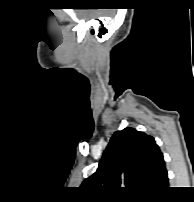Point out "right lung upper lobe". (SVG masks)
<instances>
[{"label": "right lung upper lobe", "mask_w": 194, "mask_h": 202, "mask_svg": "<svg viewBox=\"0 0 194 202\" xmlns=\"http://www.w3.org/2000/svg\"><path fill=\"white\" fill-rule=\"evenodd\" d=\"M82 185L98 194L147 198L165 190L168 175L154 138L127 127L114 133L97 171Z\"/></svg>", "instance_id": "right-lung-upper-lobe-1"}]
</instances>
